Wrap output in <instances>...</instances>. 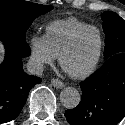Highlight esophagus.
Here are the masks:
<instances>
[{"mask_svg": "<svg viewBox=\"0 0 125 125\" xmlns=\"http://www.w3.org/2000/svg\"><path fill=\"white\" fill-rule=\"evenodd\" d=\"M51 83L52 85L55 87V88H63L64 87V83L62 81H60L59 79H52L51 80Z\"/></svg>", "mask_w": 125, "mask_h": 125, "instance_id": "1", "label": "esophagus"}]
</instances>
